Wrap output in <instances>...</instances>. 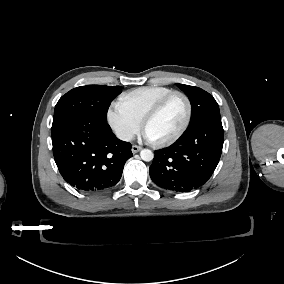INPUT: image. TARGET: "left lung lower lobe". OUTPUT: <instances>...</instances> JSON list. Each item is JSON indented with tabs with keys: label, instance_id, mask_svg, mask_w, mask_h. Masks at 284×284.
Here are the masks:
<instances>
[{
	"label": "left lung lower lobe",
	"instance_id": "1",
	"mask_svg": "<svg viewBox=\"0 0 284 284\" xmlns=\"http://www.w3.org/2000/svg\"><path fill=\"white\" fill-rule=\"evenodd\" d=\"M221 118L207 119L188 127L172 146L156 150L149 173L159 187L189 192L207 182L223 147Z\"/></svg>",
	"mask_w": 284,
	"mask_h": 284
}]
</instances>
